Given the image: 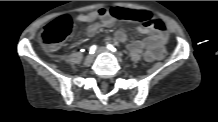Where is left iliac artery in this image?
Listing matches in <instances>:
<instances>
[{
    "label": "left iliac artery",
    "mask_w": 218,
    "mask_h": 122,
    "mask_svg": "<svg viewBox=\"0 0 218 122\" xmlns=\"http://www.w3.org/2000/svg\"><path fill=\"white\" fill-rule=\"evenodd\" d=\"M107 48H108L109 50H111L112 52H116V48H115L112 44H108V45H107Z\"/></svg>",
    "instance_id": "44dca946"
}]
</instances>
